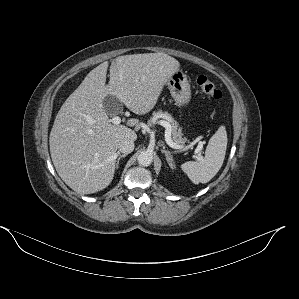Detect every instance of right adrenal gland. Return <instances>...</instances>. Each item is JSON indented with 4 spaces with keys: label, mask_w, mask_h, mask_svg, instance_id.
Wrapping results in <instances>:
<instances>
[{
    "label": "right adrenal gland",
    "mask_w": 299,
    "mask_h": 299,
    "mask_svg": "<svg viewBox=\"0 0 299 299\" xmlns=\"http://www.w3.org/2000/svg\"><path fill=\"white\" fill-rule=\"evenodd\" d=\"M127 154H122V155H119L118 158H117V161H116V165H115V168H119V161L121 160V158H124L126 157Z\"/></svg>",
    "instance_id": "1"
}]
</instances>
